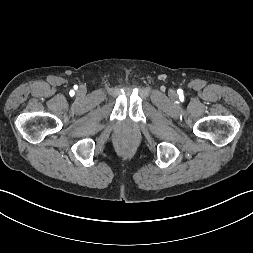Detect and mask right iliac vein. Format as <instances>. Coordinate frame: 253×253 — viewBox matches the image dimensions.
<instances>
[{
  "label": "right iliac vein",
  "instance_id": "63e3f726",
  "mask_svg": "<svg viewBox=\"0 0 253 253\" xmlns=\"http://www.w3.org/2000/svg\"><path fill=\"white\" fill-rule=\"evenodd\" d=\"M84 92H85L84 89H79V91H78L79 95H83Z\"/></svg>",
  "mask_w": 253,
  "mask_h": 253
}]
</instances>
